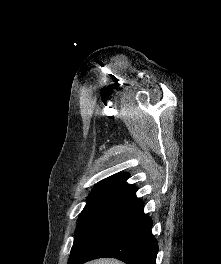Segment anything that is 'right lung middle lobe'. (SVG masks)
<instances>
[{
    "label": "right lung middle lobe",
    "instance_id": "1",
    "mask_svg": "<svg viewBox=\"0 0 221 264\" xmlns=\"http://www.w3.org/2000/svg\"><path fill=\"white\" fill-rule=\"evenodd\" d=\"M124 192L123 189L93 190L77 221L74 244L69 258L81 252L100 222Z\"/></svg>",
    "mask_w": 221,
    "mask_h": 264
}]
</instances>
